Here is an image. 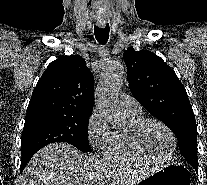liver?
I'll use <instances>...</instances> for the list:
<instances>
[{
  "label": "liver",
  "instance_id": "obj_1",
  "mask_svg": "<svg viewBox=\"0 0 207 185\" xmlns=\"http://www.w3.org/2000/svg\"><path fill=\"white\" fill-rule=\"evenodd\" d=\"M97 165L68 143H52L35 153L24 169L23 185H96Z\"/></svg>",
  "mask_w": 207,
  "mask_h": 185
}]
</instances>
